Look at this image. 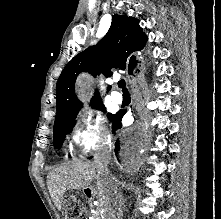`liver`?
Returning a JSON list of instances; mask_svg holds the SVG:
<instances>
[{
  "mask_svg": "<svg viewBox=\"0 0 221 219\" xmlns=\"http://www.w3.org/2000/svg\"><path fill=\"white\" fill-rule=\"evenodd\" d=\"M112 178L100 176L94 163L74 161L49 172L47 186L54 205L58 210H61L66 191L86 189L95 179L97 183L94 193L106 213L113 203L115 183L119 188L118 180L114 176Z\"/></svg>",
  "mask_w": 221,
  "mask_h": 219,
  "instance_id": "obj_1",
  "label": "liver"
}]
</instances>
